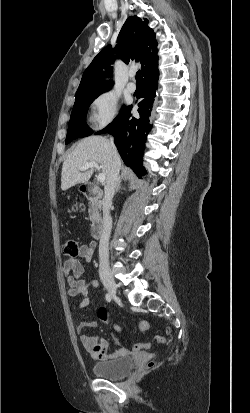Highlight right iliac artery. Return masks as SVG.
Masks as SVG:
<instances>
[{
    "label": "right iliac artery",
    "instance_id": "obj_1",
    "mask_svg": "<svg viewBox=\"0 0 250 413\" xmlns=\"http://www.w3.org/2000/svg\"><path fill=\"white\" fill-rule=\"evenodd\" d=\"M105 298H106V300L108 301V302H110L111 301V296H110V294H106V296H105Z\"/></svg>",
    "mask_w": 250,
    "mask_h": 413
}]
</instances>
